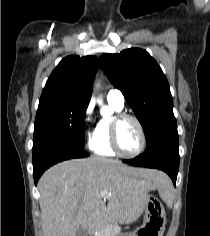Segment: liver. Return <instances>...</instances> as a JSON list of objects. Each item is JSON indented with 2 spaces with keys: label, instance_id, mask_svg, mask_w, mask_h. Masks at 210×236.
Masks as SVG:
<instances>
[{
  "label": "liver",
  "instance_id": "obj_1",
  "mask_svg": "<svg viewBox=\"0 0 210 236\" xmlns=\"http://www.w3.org/2000/svg\"><path fill=\"white\" fill-rule=\"evenodd\" d=\"M169 185L161 171L117 160L93 156L58 163L38 183L43 234L76 236L79 227L92 234L109 221L133 223L144 211L148 192L158 189L166 198Z\"/></svg>",
  "mask_w": 210,
  "mask_h": 236
}]
</instances>
